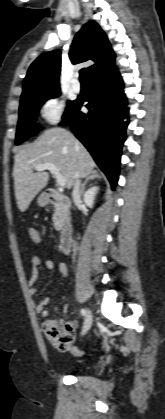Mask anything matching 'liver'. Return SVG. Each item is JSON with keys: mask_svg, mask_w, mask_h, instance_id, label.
Segmentation results:
<instances>
[{"mask_svg": "<svg viewBox=\"0 0 165 419\" xmlns=\"http://www.w3.org/2000/svg\"><path fill=\"white\" fill-rule=\"evenodd\" d=\"M43 163H51L58 168L66 179L68 189L74 185L75 173L86 177L95 167L90 153L68 130L47 129L35 142L26 145L14 157V190L21 212L27 210L34 197L48 183V172H33L35 166Z\"/></svg>", "mask_w": 165, "mask_h": 419, "instance_id": "liver-1", "label": "liver"}]
</instances>
